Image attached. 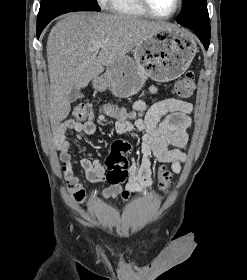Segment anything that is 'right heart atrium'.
Returning a JSON list of instances; mask_svg holds the SVG:
<instances>
[{
  "mask_svg": "<svg viewBox=\"0 0 247 280\" xmlns=\"http://www.w3.org/2000/svg\"><path fill=\"white\" fill-rule=\"evenodd\" d=\"M97 2L100 4V5H105L107 3V0H97Z\"/></svg>",
  "mask_w": 247,
  "mask_h": 280,
  "instance_id": "1",
  "label": "right heart atrium"
}]
</instances>
